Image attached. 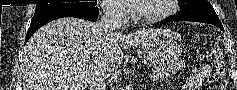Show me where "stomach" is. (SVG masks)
Instances as JSON below:
<instances>
[{
    "label": "stomach",
    "mask_w": 237,
    "mask_h": 90,
    "mask_svg": "<svg viewBox=\"0 0 237 90\" xmlns=\"http://www.w3.org/2000/svg\"><path fill=\"white\" fill-rule=\"evenodd\" d=\"M141 46L147 59L159 66L175 63L182 53L180 45L161 35L149 37Z\"/></svg>",
    "instance_id": "obj_1"
}]
</instances>
